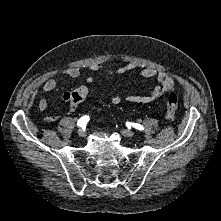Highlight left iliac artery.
I'll use <instances>...</instances> for the list:
<instances>
[{
	"label": "left iliac artery",
	"mask_w": 221,
	"mask_h": 221,
	"mask_svg": "<svg viewBox=\"0 0 221 221\" xmlns=\"http://www.w3.org/2000/svg\"><path fill=\"white\" fill-rule=\"evenodd\" d=\"M128 125H132L134 128L138 129V130H143V126L137 123H128Z\"/></svg>",
	"instance_id": "44dca946"
}]
</instances>
